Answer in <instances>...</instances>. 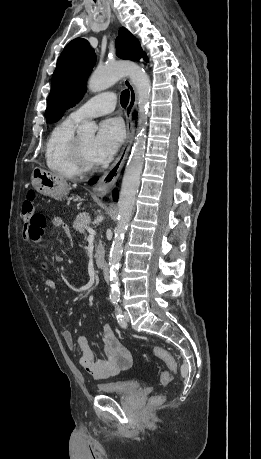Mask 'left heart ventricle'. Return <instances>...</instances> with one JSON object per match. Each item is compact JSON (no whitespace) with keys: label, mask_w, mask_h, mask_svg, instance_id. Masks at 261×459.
<instances>
[{"label":"left heart ventricle","mask_w":261,"mask_h":459,"mask_svg":"<svg viewBox=\"0 0 261 459\" xmlns=\"http://www.w3.org/2000/svg\"><path fill=\"white\" fill-rule=\"evenodd\" d=\"M79 140H80V143L82 145L83 151H84L87 159L92 161L91 153H92L94 136L93 135L80 136Z\"/></svg>","instance_id":"b2bd125f"}]
</instances>
